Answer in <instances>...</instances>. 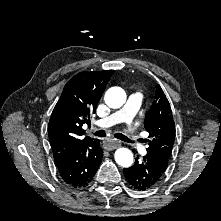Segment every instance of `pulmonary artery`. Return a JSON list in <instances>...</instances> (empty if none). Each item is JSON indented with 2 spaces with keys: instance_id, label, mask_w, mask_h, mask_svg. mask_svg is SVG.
I'll list each match as a JSON object with an SVG mask.
<instances>
[{
  "instance_id": "pulmonary-artery-1",
  "label": "pulmonary artery",
  "mask_w": 221,
  "mask_h": 221,
  "mask_svg": "<svg viewBox=\"0 0 221 221\" xmlns=\"http://www.w3.org/2000/svg\"><path fill=\"white\" fill-rule=\"evenodd\" d=\"M142 97L143 95L140 91L132 93L129 96L126 105L122 109L101 119L98 126L101 128H107L118 123H125V133L130 138L131 143L139 148L142 154H146L145 149L142 147L141 139L136 133V129L133 124V117L141 104Z\"/></svg>"
}]
</instances>
